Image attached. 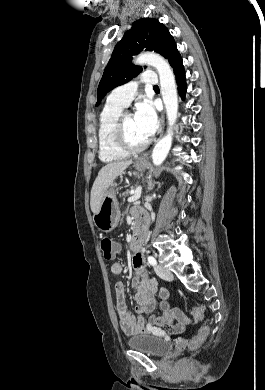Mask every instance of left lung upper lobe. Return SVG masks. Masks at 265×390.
Returning <instances> with one entry per match:
<instances>
[{
    "mask_svg": "<svg viewBox=\"0 0 265 390\" xmlns=\"http://www.w3.org/2000/svg\"><path fill=\"white\" fill-rule=\"evenodd\" d=\"M143 50L161 54L169 60L170 65L179 54L174 38L162 23L153 18L135 21L114 48L98 86L96 106L106 93L127 83L142 71L131 60L133 55Z\"/></svg>",
    "mask_w": 265,
    "mask_h": 390,
    "instance_id": "5c2ea615",
    "label": "left lung upper lobe"
}]
</instances>
